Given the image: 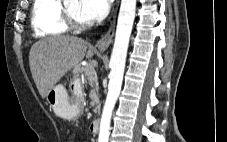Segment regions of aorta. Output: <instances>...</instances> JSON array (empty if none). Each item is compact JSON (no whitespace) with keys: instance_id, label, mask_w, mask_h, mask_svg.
<instances>
[{"instance_id":"aorta-1","label":"aorta","mask_w":227,"mask_h":142,"mask_svg":"<svg viewBox=\"0 0 227 142\" xmlns=\"http://www.w3.org/2000/svg\"><path fill=\"white\" fill-rule=\"evenodd\" d=\"M67 1V0H65ZM136 0H121L114 47L110 59V75L106 101L99 129V142H108L111 116L121 91L129 39L135 19Z\"/></svg>"}]
</instances>
